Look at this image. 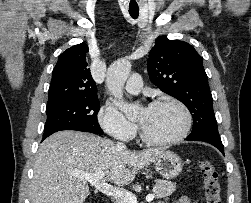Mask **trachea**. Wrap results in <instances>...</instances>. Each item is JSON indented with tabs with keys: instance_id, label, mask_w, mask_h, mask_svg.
I'll return each instance as SVG.
<instances>
[{
	"instance_id": "obj_1",
	"label": "trachea",
	"mask_w": 251,
	"mask_h": 203,
	"mask_svg": "<svg viewBox=\"0 0 251 203\" xmlns=\"http://www.w3.org/2000/svg\"><path fill=\"white\" fill-rule=\"evenodd\" d=\"M129 14L131 15L132 18H137L139 15V10H130L129 9Z\"/></svg>"
}]
</instances>
